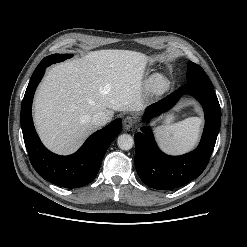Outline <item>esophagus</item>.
Wrapping results in <instances>:
<instances>
[{"instance_id": "34e87169", "label": "esophagus", "mask_w": 247, "mask_h": 247, "mask_svg": "<svg viewBox=\"0 0 247 247\" xmlns=\"http://www.w3.org/2000/svg\"><path fill=\"white\" fill-rule=\"evenodd\" d=\"M134 124H135V120L132 116H126L123 119V125L126 130L131 129L134 126Z\"/></svg>"}]
</instances>
